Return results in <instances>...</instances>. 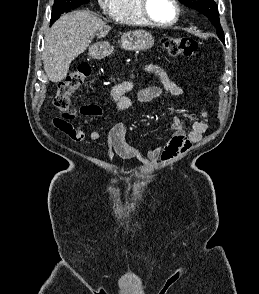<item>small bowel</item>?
Segmentation results:
<instances>
[{"instance_id":"small-bowel-1","label":"small bowel","mask_w":259,"mask_h":294,"mask_svg":"<svg viewBox=\"0 0 259 294\" xmlns=\"http://www.w3.org/2000/svg\"><path fill=\"white\" fill-rule=\"evenodd\" d=\"M156 76L160 79L164 88L174 96L183 94L182 87L168 78V76L160 71L154 70ZM132 85L130 83L116 87L112 94L113 107L111 112L114 115H119L130 106V100L125 96ZM162 95V90L157 86H151L141 89L137 93L139 102H150L159 99ZM82 116L101 117L103 115L102 108L96 103L83 105L79 108L78 113ZM200 120L195 121L191 129L186 131L179 117H173L171 121L172 138L164 145H159L154 148L141 150L136 146L128 144L125 140L126 126L122 122L114 124L107 134L102 137V140L107 148L109 159H113L115 155L122 159H137L143 161L147 159L150 162L160 158L163 161L170 160L178 154L185 152L192 143L200 141L210 129L209 114L207 110L200 109ZM73 118V117H72ZM67 117H56L52 124L55 128L63 132L70 140L81 142L85 139V133L76 125H73ZM101 138L100 131L96 130L90 134V140L96 141Z\"/></svg>"}]
</instances>
